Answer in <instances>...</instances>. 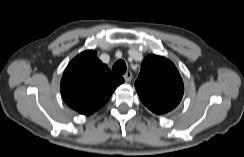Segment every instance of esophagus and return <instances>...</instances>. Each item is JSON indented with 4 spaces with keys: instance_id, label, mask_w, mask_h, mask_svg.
Here are the masks:
<instances>
[{
    "instance_id": "34e87169",
    "label": "esophagus",
    "mask_w": 244,
    "mask_h": 157,
    "mask_svg": "<svg viewBox=\"0 0 244 157\" xmlns=\"http://www.w3.org/2000/svg\"><path fill=\"white\" fill-rule=\"evenodd\" d=\"M123 78L126 82H130L132 80V73L130 71L126 72L124 75H123Z\"/></svg>"
}]
</instances>
